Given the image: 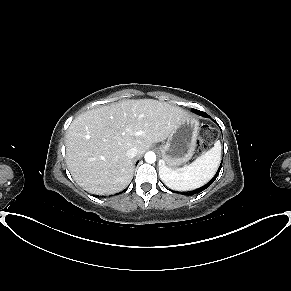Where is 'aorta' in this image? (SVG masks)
I'll return each instance as SVG.
<instances>
[{"label":"aorta","mask_w":291,"mask_h":291,"mask_svg":"<svg viewBox=\"0 0 291 291\" xmlns=\"http://www.w3.org/2000/svg\"><path fill=\"white\" fill-rule=\"evenodd\" d=\"M147 163H154L156 161V154L154 152H147L144 156Z\"/></svg>","instance_id":"1"}]
</instances>
